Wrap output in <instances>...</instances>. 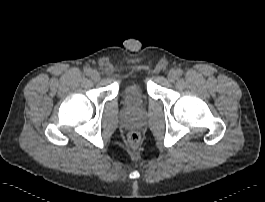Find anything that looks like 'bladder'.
<instances>
[{"mask_svg":"<svg viewBox=\"0 0 265 202\" xmlns=\"http://www.w3.org/2000/svg\"><path fill=\"white\" fill-rule=\"evenodd\" d=\"M121 98L124 104L131 108L144 102L146 100V93L142 84L135 82L125 86Z\"/></svg>","mask_w":265,"mask_h":202,"instance_id":"1","label":"bladder"}]
</instances>
